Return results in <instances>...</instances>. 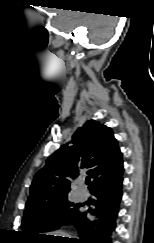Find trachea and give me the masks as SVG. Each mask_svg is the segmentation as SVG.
Returning <instances> with one entry per match:
<instances>
[{
  "label": "trachea",
  "instance_id": "1",
  "mask_svg": "<svg viewBox=\"0 0 154 243\" xmlns=\"http://www.w3.org/2000/svg\"><path fill=\"white\" fill-rule=\"evenodd\" d=\"M89 182H90V178L87 177V178H86V183H89Z\"/></svg>",
  "mask_w": 154,
  "mask_h": 243
}]
</instances>
